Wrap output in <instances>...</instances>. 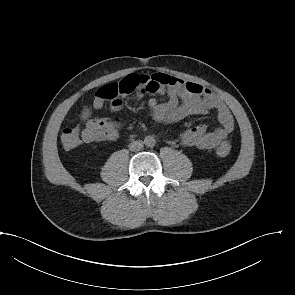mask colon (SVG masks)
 Listing matches in <instances>:
<instances>
[{
  "mask_svg": "<svg viewBox=\"0 0 295 295\" xmlns=\"http://www.w3.org/2000/svg\"><path fill=\"white\" fill-rule=\"evenodd\" d=\"M139 75H128L118 83H110L101 87L96 95L100 96L103 100H113L120 95L130 94L140 86ZM87 125H75L66 127L61 133V142L65 149H73L77 147L84 138V133ZM231 151V144L228 141L221 143L216 148V154L219 157H226Z\"/></svg>",
  "mask_w": 295,
  "mask_h": 295,
  "instance_id": "obj_1",
  "label": "colon"
}]
</instances>
